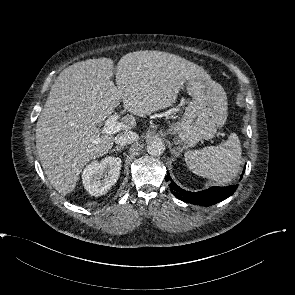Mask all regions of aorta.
Listing matches in <instances>:
<instances>
[{
	"label": "aorta",
	"mask_w": 295,
	"mask_h": 295,
	"mask_svg": "<svg viewBox=\"0 0 295 295\" xmlns=\"http://www.w3.org/2000/svg\"><path fill=\"white\" fill-rule=\"evenodd\" d=\"M165 151V144L161 139L150 140L147 144V152L152 156H160Z\"/></svg>",
	"instance_id": "aorta-1"
}]
</instances>
